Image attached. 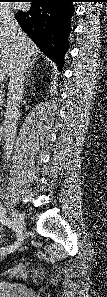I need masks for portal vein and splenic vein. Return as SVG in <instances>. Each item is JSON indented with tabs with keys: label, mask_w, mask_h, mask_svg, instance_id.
<instances>
[{
	"label": "portal vein and splenic vein",
	"mask_w": 107,
	"mask_h": 297,
	"mask_svg": "<svg viewBox=\"0 0 107 297\" xmlns=\"http://www.w3.org/2000/svg\"><path fill=\"white\" fill-rule=\"evenodd\" d=\"M4 77L5 76H3V75L0 74V81H3L4 80Z\"/></svg>",
	"instance_id": "18ae733b"
}]
</instances>
